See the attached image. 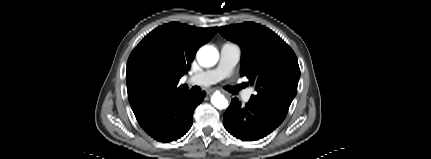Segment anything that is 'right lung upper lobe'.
<instances>
[{
	"label": "right lung upper lobe",
	"instance_id": "right-lung-upper-lobe-1",
	"mask_svg": "<svg viewBox=\"0 0 431 159\" xmlns=\"http://www.w3.org/2000/svg\"><path fill=\"white\" fill-rule=\"evenodd\" d=\"M216 32V27L171 22L141 40L129 56L126 72L128 98L137 121L188 90L179 80L190 69L198 48Z\"/></svg>",
	"mask_w": 431,
	"mask_h": 159
}]
</instances>
